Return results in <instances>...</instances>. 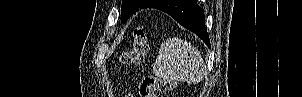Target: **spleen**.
<instances>
[{"label": "spleen", "instance_id": "1", "mask_svg": "<svg viewBox=\"0 0 302 97\" xmlns=\"http://www.w3.org/2000/svg\"><path fill=\"white\" fill-rule=\"evenodd\" d=\"M153 72L165 80L195 84L204 77V61L191 43L173 37L161 44Z\"/></svg>", "mask_w": 302, "mask_h": 97}]
</instances>
